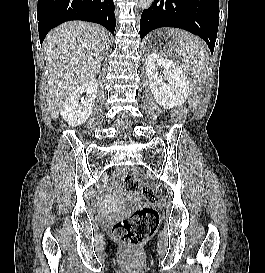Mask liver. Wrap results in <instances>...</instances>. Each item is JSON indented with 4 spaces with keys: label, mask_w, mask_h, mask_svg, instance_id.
Listing matches in <instances>:
<instances>
[{
    "label": "liver",
    "mask_w": 265,
    "mask_h": 273,
    "mask_svg": "<svg viewBox=\"0 0 265 273\" xmlns=\"http://www.w3.org/2000/svg\"><path fill=\"white\" fill-rule=\"evenodd\" d=\"M109 36L99 25L69 21L50 31L43 48L48 67L47 104L57 119L64 100L99 73Z\"/></svg>",
    "instance_id": "obj_1"
}]
</instances>
